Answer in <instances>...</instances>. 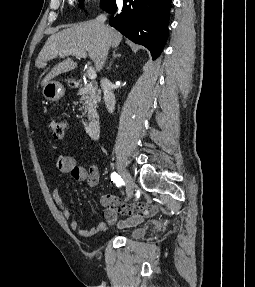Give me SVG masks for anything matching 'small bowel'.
Instances as JSON below:
<instances>
[{"label":"small bowel","mask_w":255,"mask_h":287,"mask_svg":"<svg viewBox=\"0 0 255 287\" xmlns=\"http://www.w3.org/2000/svg\"><path fill=\"white\" fill-rule=\"evenodd\" d=\"M56 168L59 173L68 174L75 181H87L90 186H94L98 182L96 170L91 169L88 171L84 167L79 166L72 156H60L57 160ZM52 197L62 217L69 220L70 228L82 237H93L105 232L109 226L115 224L120 228L136 226L140 224L144 218L152 216L157 212V207L154 205L144 203L126 205L113 195H102L100 197V203L104 207L102 213L103 220L89 229H80L79 222L71 217L69 209L61 199L59 188L53 190ZM118 213H123L127 218L117 221Z\"/></svg>","instance_id":"obj_1"}]
</instances>
